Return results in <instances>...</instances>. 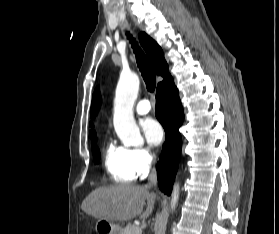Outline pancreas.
Wrapping results in <instances>:
<instances>
[{"label": "pancreas", "mask_w": 279, "mask_h": 234, "mask_svg": "<svg viewBox=\"0 0 279 234\" xmlns=\"http://www.w3.org/2000/svg\"><path fill=\"white\" fill-rule=\"evenodd\" d=\"M121 234H141V230L139 227L129 224L121 230Z\"/></svg>", "instance_id": "cf45deb5"}]
</instances>
